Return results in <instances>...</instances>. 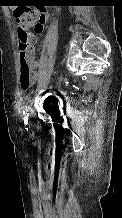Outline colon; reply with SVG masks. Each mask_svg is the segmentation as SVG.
Listing matches in <instances>:
<instances>
[{
  "instance_id": "colon-1",
  "label": "colon",
  "mask_w": 122,
  "mask_h": 218,
  "mask_svg": "<svg viewBox=\"0 0 122 218\" xmlns=\"http://www.w3.org/2000/svg\"><path fill=\"white\" fill-rule=\"evenodd\" d=\"M13 18L19 27V78L22 89L27 90L34 81L31 54L35 44V34L43 32L49 15L34 9H15Z\"/></svg>"
}]
</instances>
